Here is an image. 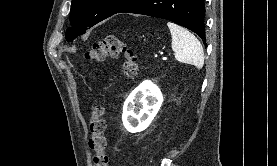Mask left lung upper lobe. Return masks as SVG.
<instances>
[{
    "label": "left lung upper lobe",
    "mask_w": 277,
    "mask_h": 166,
    "mask_svg": "<svg viewBox=\"0 0 277 166\" xmlns=\"http://www.w3.org/2000/svg\"><path fill=\"white\" fill-rule=\"evenodd\" d=\"M134 0H72L70 10L71 28L66 32L68 41L85 33L87 27L118 13Z\"/></svg>",
    "instance_id": "left-lung-upper-lobe-1"
}]
</instances>
